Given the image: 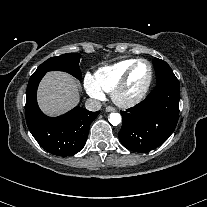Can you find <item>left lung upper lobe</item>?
<instances>
[{
	"label": "left lung upper lobe",
	"mask_w": 207,
	"mask_h": 207,
	"mask_svg": "<svg viewBox=\"0 0 207 207\" xmlns=\"http://www.w3.org/2000/svg\"><path fill=\"white\" fill-rule=\"evenodd\" d=\"M153 64L155 67L158 84L164 81L177 79L172 69L165 61L155 58Z\"/></svg>",
	"instance_id": "left-lung-upper-lobe-1"
}]
</instances>
